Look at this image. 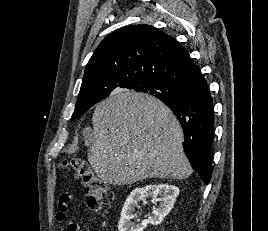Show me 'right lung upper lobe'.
Listing matches in <instances>:
<instances>
[{
  "mask_svg": "<svg viewBox=\"0 0 268 231\" xmlns=\"http://www.w3.org/2000/svg\"><path fill=\"white\" fill-rule=\"evenodd\" d=\"M203 77L187 50L149 25L123 27L103 39L84 73L77 103H93L119 87L158 81L182 89Z\"/></svg>",
  "mask_w": 268,
  "mask_h": 231,
  "instance_id": "obj_1",
  "label": "right lung upper lobe"
}]
</instances>
